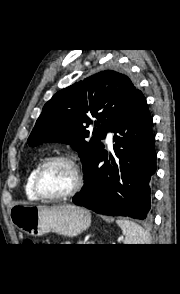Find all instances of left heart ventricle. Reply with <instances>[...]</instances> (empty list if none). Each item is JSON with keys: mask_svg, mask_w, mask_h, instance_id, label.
<instances>
[{"mask_svg": "<svg viewBox=\"0 0 180 294\" xmlns=\"http://www.w3.org/2000/svg\"><path fill=\"white\" fill-rule=\"evenodd\" d=\"M75 184L72 168L65 163H55L48 167L41 176V191L50 196L68 192Z\"/></svg>", "mask_w": 180, "mask_h": 294, "instance_id": "obj_1", "label": "left heart ventricle"}]
</instances>
